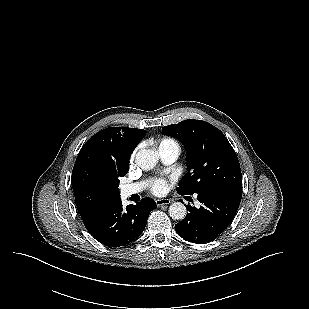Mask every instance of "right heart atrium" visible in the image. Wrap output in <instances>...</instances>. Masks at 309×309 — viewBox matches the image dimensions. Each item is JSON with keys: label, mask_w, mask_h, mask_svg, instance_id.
I'll use <instances>...</instances> for the list:
<instances>
[{"label": "right heart atrium", "mask_w": 309, "mask_h": 309, "mask_svg": "<svg viewBox=\"0 0 309 309\" xmlns=\"http://www.w3.org/2000/svg\"><path fill=\"white\" fill-rule=\"evenodd\" d=\"M134 155H135V154L133 153L132 156H131V159H132V160L134 159Z\"/></svg>", "instance_id": "obj_1"}]
</instances>
